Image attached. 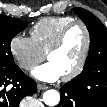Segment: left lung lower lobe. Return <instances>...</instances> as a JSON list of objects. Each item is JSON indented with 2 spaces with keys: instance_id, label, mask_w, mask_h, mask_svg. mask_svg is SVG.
I'll list each match as a JSON object with an SVG mask.
<instances>
[{
  "instance_id": "0a47b994",
  "label": "left lung lower lobe",
  "mask_w": 107,
  "mask_h": 107,
  "mask_svg": "<svg viewBox=\"0 0 107 107\" xmlns=\"http://www.w3.org/2000/svg\"><path fill=\"white\" fill-rule=\"evenodd\" d=\"M57 107H107V75L103 69L88 81V86L72 80L60 89Z\"/></svg>"
}]
</instances>
